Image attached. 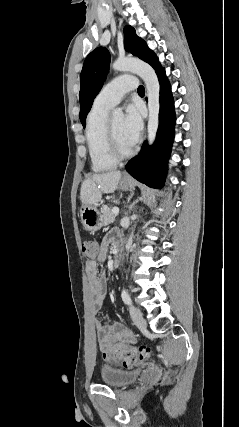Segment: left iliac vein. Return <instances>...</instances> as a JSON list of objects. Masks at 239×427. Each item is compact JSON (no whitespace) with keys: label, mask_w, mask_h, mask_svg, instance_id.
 I'll list each match as a JSON object with an SVG mask.
<instances>
[{"label":"left iliac vein","mask_w":239,"mask_h":427,"mask_svg":"<svg viewBox=\"0 0 239 427\" xmlns=\"http://www.w3.org/2000/svg\"><path fill=\"white\" fill-rule=\"evenodd\" d=\"M129 310H130V315L132 317V320L134 321L136 326L140 329L146 328L147 324L141 310L133 305L130 306Z\"/></svg>","instance_id":"4c4485c4"}]
</instances>
